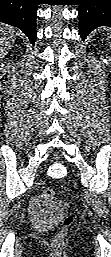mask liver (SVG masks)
<instances>
[{"label": "liver", "mask_w": 111, "mask_h": 257, "mask_svg": "<svg viewBox=\"0 0 111 257\" xmlns=\"http://www.w3.org/2000/svg\"><path fill=\"white\" fill-rule=\"evenodd\" d=\"M15 31L13 28H8L2 25L0 29V53L5 56L7 52L13 47L15 41Z\"/></svg>", "instance_id": "liver-1"}]
</instances>
